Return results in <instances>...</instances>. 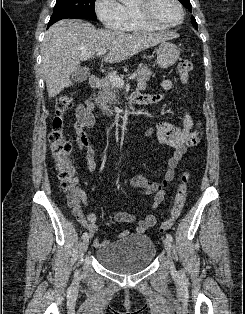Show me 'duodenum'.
<instances>
[{
    "mask_svg": "<svg viewBox=\"0 0 245 314\" xmlns=\"http://www.w3.org/2000/svg\"><path fill=\"white\" fill-rule=\"evenodd\" d=\"M89 84L92 88H98L101 85V78L98 75H91L89 78ZM143 99L141 94H132L127 98L128 103H138Z\"/></svg>",
    "mask_w": 245,
    "mask_h": 314,
    "instance_id": "obj_1",
    "label": "duodenum"
}]
</instances>
